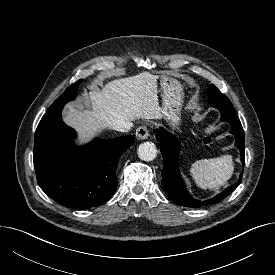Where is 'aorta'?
<instances>
[{
    "instance_id": "1",
    "label": "aorta",
    "mask_w": 275,
    "mask_h": 275,
    "mask_svg": "<svg viewBox=\"0 0 275 275\" xmlns=\"http://www.w3.org/2000/svg\"><path fill=\"white\" fill-rule=\"evenodd\" d=\"M138 156L141 160L144 161H152L157 156V148L154 143L151 142H143L139 145Z\"/></svg>"
}]
</instances>
